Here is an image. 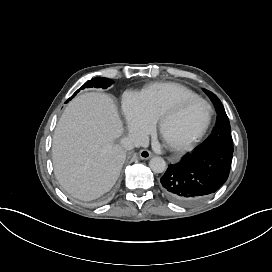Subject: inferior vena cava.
Returning a JSON list of instances; mask_svg holds the SVG:
<instances>
[{
    "label": "inferior vena cava",
    "mask_w": 272,
    "mask_h": 272,
    "mask_svg": "<svg viewBox=\"0 0 272 272\" xmlns=\"http://www.w3.org/2000/svg\"><path fill=\"white\" fill-rule=\"evenodd\" d=\"M121 144L126 149L132 147H147L149 145V136L143 131H134L127 138L121 140Z\"/></svg>",
    "instance_id": "obj_1"
}]
</instances>
